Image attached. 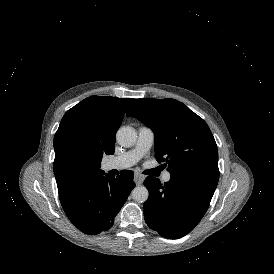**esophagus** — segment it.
<instances>
[{
    "mask_svg": "<svg viewBox=\"0 0 274 274\" xmlns=\"http://www.w3.org/2000/svg\"><path fill=\"white\" fill-rule=\"evenodd\" d=\"M143 181H144V176L141 175L140 173H135V175H134V182L136 183V185L142 184Z\"/></svg>",
    "mask_w": 274,
    "mask_h": 274,
    "instance_id": "esophagus-1",
    "label": "esophagus"
}]
</instances>
